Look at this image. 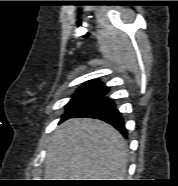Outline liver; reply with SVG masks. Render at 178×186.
I'll return each instance as SVG.
<instances>
[{
	"label": "liver",
	"mask_w": 178,
	"mask_h": 186,
	"mask_svg": "<svg viewBox=\"0 0 178 186\" xmlns=\"http://www.w3.org/2000/svg\"><path fill=\"white\" fill-rule=\"evenodd\" d=\"M128 148L111 125L90 118L69 119L47 146L45 180H124Z\"/></svg>",
	"instance_id": "liver-1"
}]
</instances>
